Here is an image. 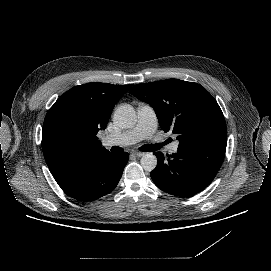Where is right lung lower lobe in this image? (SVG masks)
Masks as SVG:
<instances>
[{"label": "right lung lower lobe", "instance_id": "98d812e1", "mask_svg": "<svg viewBox=\"0 0 271 271\" xmlns=\"http://www.w3.org/2000/svg\"><path fill=\"white\" fill-rule=\"evenodd\" d=\"M128 156L127 152L83 154L61 164L51 173L67 195L79 201H92L117 186Z\"/></svg>", "mask_w": 271, "mask_h": 271}]
</instances>
